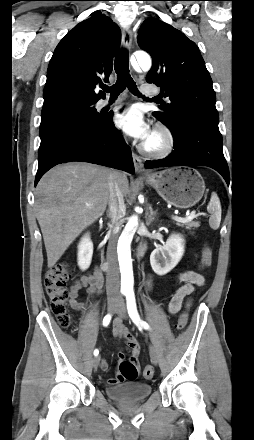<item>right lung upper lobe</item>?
Instances as JSON below:
<instances>
[{"label": "right lung upper lobe", "mask_w": 254, "mask_h": 440, "mask_svg": "<svg viewBox=\"0 0 254 440\" xmlns=\"http://www.w3.org/2000/svg\"><path fill=\"white\" fill-rule=\"evenodd\" d=\"M121 39L118 25L100 14L77 24L57 45L47 70L44 101L61 95L98 100L108 82Z\"/></svg>", "instance_id": "cb5924a9"}]
</instances>
